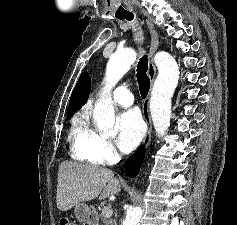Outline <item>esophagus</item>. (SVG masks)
Here are the masks:
<instances>
[{"mask_svg":"<svg viewBox=\"0 0 237 225\" xmlns=\"http://www.w3.org/2000/svg\"><path fill=\"white\" fill-rule=\"evenodd\" d=\"M146 25L151 37L150 48H149V67H148V76L150 79V90L146 99L143 101V105H142L143 118L147 125V131L143 138L142 145L147 148L150 144L151 134H152V121H151V116H150L149 102H150L151 89L153 87L155 77H156V66L154 63V55L159 47V36L151 20H146Z\"/></svg>","mask_w":237,"mask_h":225,"instance_id":"esophagus-1","label":"esophagus"}]
</instances>
